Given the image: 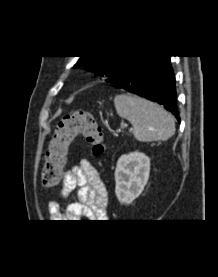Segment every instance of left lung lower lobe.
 Listing matches in <instances>:
<instances>
[{
  "label": "left lung lower lobe",
  "mask_w": 218,
  "mask_h": 277,
  "mask_svg": "<svg viewBox=\"0 0 218 277\" xmlns=\"http://www.w3.org/2000/svg\"><path fill=\"white\" fill-rule=\"evenodd\" d=\"M120 89L162 104L180 122L169 56H136L107 78Z\"/></svg>",
  "instance_id": "left-lung-lower-lobe-1"
}]
</instances>
